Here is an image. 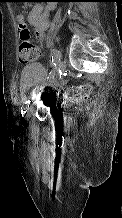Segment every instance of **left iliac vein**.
<instances>
[{
    "label": "left iliac vein",
    "mask_w": 122,
    "mask_h": 218,
    "mask_svg": "<svg viewBox=\"0 0 122 218\" xmlns=\"http://www.w3.org/2000/svg\"><path fill=\"white\" fill-rule=\"evenodd\" d=\"M65 69H66V61L61 60L60 63H59V65H58L57 71L54 73V77H53V79H52L51 82H50V85H49V86H50L51 88H55V87L58 86V84H59V82H60V79H61V76H62L63 72L65 71ZM33 111H34V106H33V104H32V105H30V106L27 108V114H26V115H27L28 117L31 116L32 113H33Z\"/></svg>",
    "instance_id": "left-iliac-vein-1"
}]
</instances>
